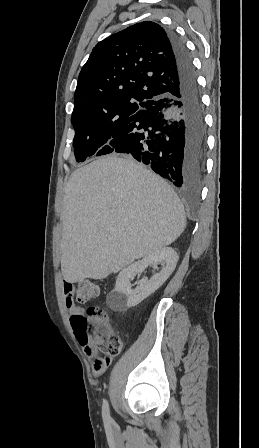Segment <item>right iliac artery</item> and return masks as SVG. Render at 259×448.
<instances>
[{"label":"right iliac artery","instance_id":"right-iliac-artery-1","mask_svg":"<svg viewBox=\"0 0 259 448\" xmlns=\"http://www.w3.org/2000/svg\"><path fill=\"white\" fill-rule=\"evenodd\" d=\"M102 417L105 424H109L112 422V418L110 416L109 405L106 400L103 402L102 406Z\"/></svg>","mask_w":259,"mask_h":448}]
</instances>
